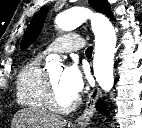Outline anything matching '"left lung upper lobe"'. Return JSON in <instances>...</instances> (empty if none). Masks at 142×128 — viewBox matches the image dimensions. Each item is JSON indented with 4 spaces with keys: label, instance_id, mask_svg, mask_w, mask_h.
<instances>
[{
    "label": "left lung upper lobe",
    "instance_id": "obj_1",
    "mask_svg": "<svg viewBox=\"0 0 142 128\" xmlns=\"http://www.w3.org/2000/svg\"><path fill=\"white\" fill-rule=\"evenodd\" d=\"M88 2L95 10L104 13L108 17L112 15L110 6L106 0H88ZM46 14H47V7H43L33 17L21 41V48L29 46L38 37V35L41 32L44 20L46 18Z\"/></svg>",
    "mask_w": 142,
    "mask_h": 128
}]
</instances>
